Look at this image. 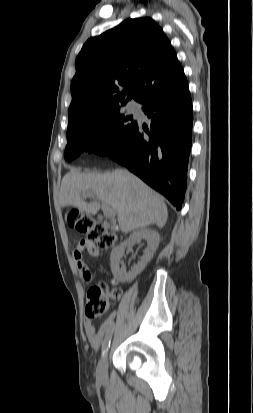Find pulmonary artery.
<instances>
[{"instance_id":"obj_1","label":"pulmonary artery","mask_w":253,"mask_h":413,"mask_svg":"<svg viewBox=\"0 0 253 413\" xmlns=\"http://www.w3.org/2000/svg\"><path fill=\"white\" fill-rule=\"evenodd\" d=\"M129 109L133 111V110L136 109V106H135L134 104H130V105H129Z\"/></svg>"}]
</instances>
